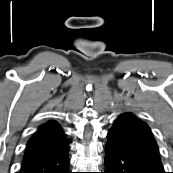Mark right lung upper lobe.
Masks as SVG:
<instances>
[{
  "instance_id": "right-lung-upper-lobe-1",
  "label": "right lung upper lobe",
  "mask_w": 173,
  "mask_h": 173,
  "mask_svg": "<svg viewBox=\"0 0 173 173\" xmlns=\"http://www.w3.org/2000/svg\"><path fill=\"white\" fill-rule=\"evenodd\" d=\"M67 144L59 124L49 121L41 125L27 143L25 155L57 148Z\"/></svg>"
}]
</instances>
